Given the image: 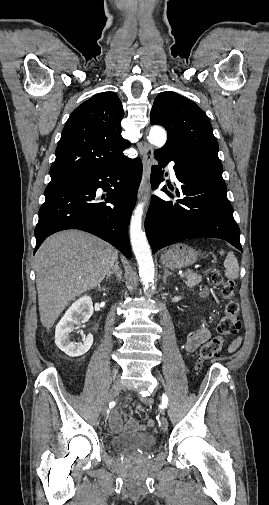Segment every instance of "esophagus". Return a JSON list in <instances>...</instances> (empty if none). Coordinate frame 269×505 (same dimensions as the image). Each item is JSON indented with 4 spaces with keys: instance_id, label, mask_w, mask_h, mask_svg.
<instances>
[{
    "instance_id": "34e87169",
    "label": "esophagus",
    "mask_w": 269,
    "mask_h": 505,
    "mask_svg": "<svg viewBox=\"0 0 269 505\" xmlns=\"http://www.w3.org/2000/svg\"><path fill=\"white\" fill-rule=\"evenodd\" d=\"M152 160H153V148L149 144L145 143L143 156H142L143 174H142V179H141L139 189H138V199L139 200L148 198V193L150 190L148 180H149V174H150V170H151Z\"/></svg>"
}]
</instances>
